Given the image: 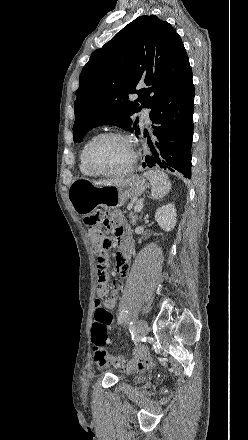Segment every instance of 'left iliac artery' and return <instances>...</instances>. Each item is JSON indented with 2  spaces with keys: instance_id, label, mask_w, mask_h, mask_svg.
Here are the masks:
<instances>
[{
  "instance_id": "44dca946",
  "label": "left iliac artery",
  "mask_w": 248,
  "mask_h": 440,
  "mask_svg": "<svg viewBox=\"0 0 248 440\" xmlns=\"http://www.w3.org/2000/svg\"><path fill=\"white\" fill-rule=\"evenodd\" d=\"M127 315H128V311H125L124 313H122L121 318L125 319L127 317ZM129 329H130L131 334L135 331V328H134L132 322L130 323Z\"/></svg>"
}]
</instances>
